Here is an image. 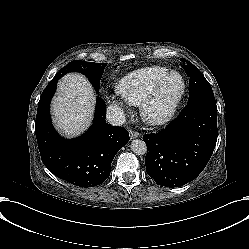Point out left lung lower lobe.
Returning <instances> with one entry per match:
<instances>
[{
  "instance_id": "0a47b994",
  "label": "left lung lower lobe",
  "mask_w": 249,
  "mask_h": 249,
  "mask_svg": "<svg viewBox=\"0 0 249 249\" xmlns=\"http://www.w3.org/2000/svg\"><path fill=\"white\" fill-rule=\"evenodd\" d=\"M147 173L161 186L180 187L208 163L217 141L214 96L188 101L179 116L158 133L146 134Z\"/></svg>"
}]
</instances>
